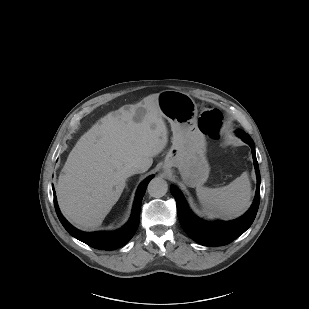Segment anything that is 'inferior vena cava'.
Returning <instances> with one entry per match:
<instances>
[{
	"instance_id": "602c4592",
	"label": "inferior vena cava",
	"mask_w": 309,
	"mask_h": 309,
	"mask_svg": "<svg viewBox=\"0 0 309 309\" xmlns=\"http://www.w3.org/2000/svg\"><path fill=\"white\" fill-rule=\"evenodd\" d=\"M142 172H145V168L143 166L136 165L127 171V175L131 176L133 174L142 173Z\"/></svg>"
}]
</instances>
